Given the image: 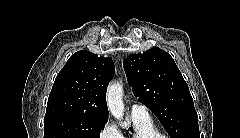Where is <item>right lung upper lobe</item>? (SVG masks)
Listing matches in <instances>:
<instances>
[{"label":"right lung upper lobe","mask_w":240,"mask_h":138,"mask_svg":"<svg viewBox=\"0 0 240 138\" xmlns=\"http://www.w3.org/2000/svg\"><path fill=\"white\" fill-rule=\"evenodd\" d=\"M114 72L111 58L86 50L74 53L55 79L45 117L72 114L108 121L106 90Z\"/></svg>","instance_id":"cb5924a9"}]
</instances>
